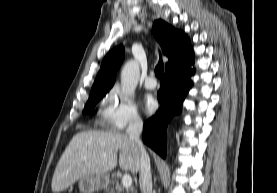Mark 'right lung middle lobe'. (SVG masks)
I'll use <instances>...</instances> for the list:
<instances>
[{
    "label": "right lung middle lobe",
    "mask_w": 277,
    "mask_h": 193,
    "mask_svg": "<svg viewBox=\"0 0 277 193\" xmlns=\"http://www.w3.org/2000/svg\"><path fill=\"white\" fill-rule=\"evenodd\" d=\"M106 93L107 91L90 94L88 102L83 110V113H88Z\"/></svg>",
    "instance_id": "1"
}]
</instances>
